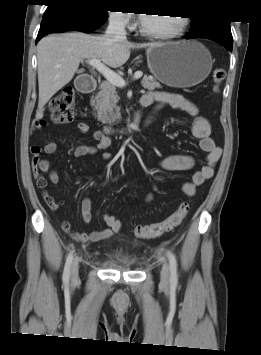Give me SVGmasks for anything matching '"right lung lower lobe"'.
<instances>
[{
    "mask_svg": "<svg viewBox=\"0 0 261 355\" xmlns=\"http://www.w3.org/2000/svg\"><path fill=\"white\" fill-rule=\"evenodd\" d=\"M107 18H98L68 3L49 4L41 22L36 43L46 34L76 30L92 32L98 29Z\"/></svg>",
    "mask_w": 261,
    "mask_h": 355,
    "instance_id": "obj_1",
    "label": "right lung lower lobe"
}]
</instances>
